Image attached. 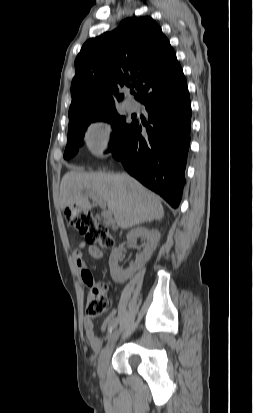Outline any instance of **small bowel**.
Wrapping results in <instances>:
<instances>
[{
    "label": "small bowel",
    "mask_w": 253,
    "mask_h": 413,
    "mask_svg": "<svg viewBox=\"0 0 253 413\" xmlns=\"http://www.w3.org/2000/svg\"><path fill=\"white\" fill-rule=\"evenodd\" d=\"M84 248H87L89 254L94 259H101L103 257V252L97 246L93 244H89L87 242L80 243L79 247L75 249V251L73 252V261H74V264L77 270L80 273L81 279L86 285L89 286L93 284V276L83 259ZM116 320H117V313L115 310H113L109 313V315L105 319L104 323L102 324L101 330L103 332L104 331L109 332L110 327L115 323ZM84 332H85V336L92 350L98 351L102 347L103 340L99 335L96 334L94 323L92 319L89 317H86L84 319Z\"/></svg>",
    "instance_id": "obj_1"
}]
</instances>
